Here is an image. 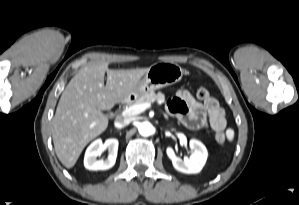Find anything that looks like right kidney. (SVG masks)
<instances>
[{"instance_id":"1","label":"right kidney","mask_w":299,"mask_h":205,"mask_svg":"<svg viewBox=\"0 0 299 205\" xmlns=\"http://www.w3.org/2000/svg\"><path fill=\"white\" fill-rule=\"evenodd\" d=\"M104 150H108L106 159L97 160ZM118 151V140L107 139L104 143L101 139L92 142L87 148L84 156V166L88 170H107L114 166Z\"/></svg>"}]
</instances>
